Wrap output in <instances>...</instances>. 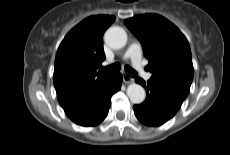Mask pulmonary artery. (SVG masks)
I'll use <instances>...</instances> for the list:
<instances>
[{
	"label": "pulmonary artery",
	"mask_w": 230,
	"mask_h": 155,
	"mask_svg": "<svg viewBox=\"0 0 230 155\" xmlns=\"http://www.w3.org/2000/svg\"><path fill=\"white\" fill-rule=\"evenodd\" d=\"M123 59H130L133 66L137 69V71L141 74H144L146 79L150 78V74L144 73L142 66V50L139 43H132L127 48L124 53Z\"/></svg>",
	"instance_id": "e3ab8cb5"
}]
</instances>
